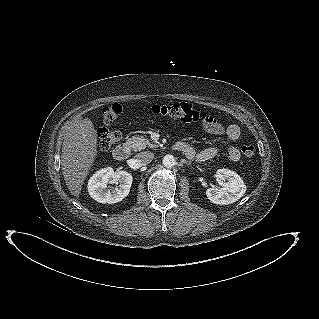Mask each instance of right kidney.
<instances>
[{
	"label": "right kidney",
	"instance_id": "obj_1",
	"mask_svg": "<svg viewBox=\"0 0 319 319\" xmlns=\"http://www.w3.org/2000/svg\"><path fill=\"white\" fill-rule=\"evenodd\" d=\"M133 177L126 171L114 172L113 168L105 167L93 174L88 181L89 195L100 203L113 204L122 201L130 192ZM108 184H115L113 190Z\"/></svg>",
	"mask_w": 319,
	"mask_h": 319
}]
</instances>
